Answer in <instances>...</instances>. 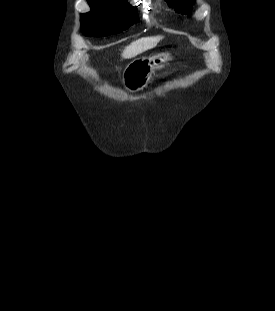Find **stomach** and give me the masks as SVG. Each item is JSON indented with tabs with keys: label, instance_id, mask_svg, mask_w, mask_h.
I'll list each match as a JSON object with an SVG mask.
<instances>
[{
	"label": "stomach",
	"instance_id": "1",
	"mask_svg": "<svg viewBox=\"0 0 275 311\" xmlns=\"http://www.w3.org/2000/svg\"><path fill=\"white\" fill-rule=\"evenodd\" d=\"M173 56L169 52L157 53L150 57L140 58L132 61L125 68L122 75V83L129 92H138L143 89L155 68L171 60Z\"/></svg>",
	"mask_w": 275,
	"mask_h": 311
}]
</instances>
